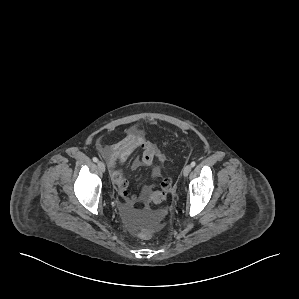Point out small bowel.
<instances>
[{
    "instance_id": "small-bowel-1",
    "label": "small bowel",
    "mask_w": 299,
    "mask_h": 299,
    "mask_svg": "<svg viewBox=\"0 0 299 299\" xmlns=\"http://www.w3.org/2000/svg\"><path fill=\"white\" fill-rule=\"evenodd\" d=\"M136 149H141L142 154L132 160L131 169L135 170L141 166L153 167V173L157 174L158 170L154 165L156 163L163 164L165 156L158 146L147 138L145 131L133 129L118 142L111 144L101 143L99 145L102 156L110 166L111 178L121 198V210L128 218H133L136 215L137 203L147 202L152 195L150 187H143L139 195L131 194L128 182L121 174L122 166ZM165 182L170 183V180L164 179L161 183L162 187Z\"/></svg>"
}]
</instances>
